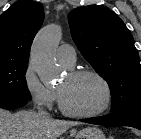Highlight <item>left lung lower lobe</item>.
Here are the masks:
<instances>
[{
  "label": "left lung lower lobe",
  "instance_id": "0a47b994",
  "mask_svg": "<svg viewBox=\"0 0 141 139\" xmlns=\"http://www.w3.org/2000/svg\"><path fill=\"white\" fill-rule=\"evenodd\" d=\"M81 121L91 124L131 126L141 130V105H134L103 117L81 119Z\"/></svg>",
  "mask_w": 141,
  "mask_h": 139
}]
</instances>
